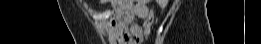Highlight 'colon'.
I'll return each instance as SVG.
<instances>
[{"mask_svg": "<svg viewBox=\"0 0 261 44\" xmlns=\"http://www.w3.org/2000/svg\"><path fill=\"white\" fill-rule=\"evenodd\" d=\"M143 1L146 3L149 2L146 0H143ZM104 2H110V3H112V6H136L137 5L136 1L112 0V1H104ZM153 22H154V13L151 10L148 12L146 19L144 21V24H143V36L145 38H147L150 35Z\"/></svg>", "mask_w": 261, "mask_h": 44, "instance_id": "1", "label": "colon"}]
</instances>
